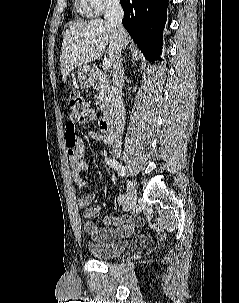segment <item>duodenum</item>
<instances>
[{"mask_svg": "<svg viewBox=\"0 0 239 303\" xmlns=\"http://www.w3.org/2000/svg\"><path fill=\"white\" fill-rule=\"evenodd\" d=\"M100 130L110 136L115 134V117L113 114H105L99 121Z\"/></svg>", "mask_w": 239, "mask_h": 303, "instance_id": "duodenum-1", "label": "duodenum"}]
</instances>
